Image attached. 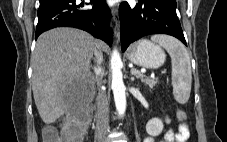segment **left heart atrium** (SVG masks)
I'll return each mask as SVG.
<instances>
[{"label":"left heart atrium","instance_id":"obj_1","mask_svg":"<svg viewBox=\"0 0 227 142\" xmlns=\"http://www.w3.org/2000/svg\"><path fill=\"white\" fill-rule=\"evenodd\" d=\"M115 1H117V0H109L110 3H113V2H115Z\"/></svg>","mask_w":227,"mask_h":142}]
</instances>
